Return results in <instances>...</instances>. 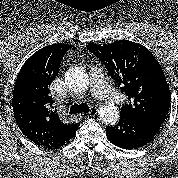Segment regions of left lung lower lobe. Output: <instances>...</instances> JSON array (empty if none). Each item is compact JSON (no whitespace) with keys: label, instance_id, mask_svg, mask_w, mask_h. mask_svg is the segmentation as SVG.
<instances>
[{"label":"left lung lower lobe","instance_id":"obj_1","mask_svg":"<svg viewBox=\"0 0 178 178\" xmlns=\"http://www.w3.org/2000/svg\"><path fill=\"white\" fill-rule=\"evenodd\" d=\"M161 125L152 119L121 116L117 125L106 127V136L120 148L137 149L152 141Z\"/></svg>","mask_w":178,"mask_h":178}]
</instances>
